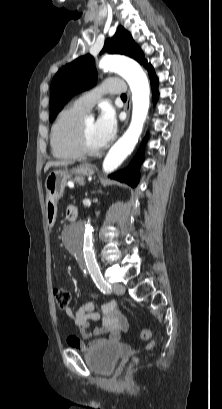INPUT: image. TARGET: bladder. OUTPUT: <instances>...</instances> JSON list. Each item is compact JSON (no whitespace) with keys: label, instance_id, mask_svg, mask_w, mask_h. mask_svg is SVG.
Wrapping results in <instances>:
<instances>
[{"label":"bladder","instance_id":"31cf9c89","mask_svg":"<svg viewBox=\"0 0 222 409\" xmlns=\"http://www.w3.org/2000/svg\"><path fill=\"white\" fill-rule=\"evenodd\" d=\"M121 354L122 348L120 344L108 342L88 350L85 355V361L94 372L108 375L114 370Z\"/></svg>","mask_w":222,"mask_h":409}]
</instances>
